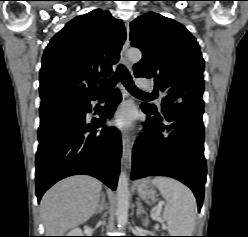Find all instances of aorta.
Here are the masks:
<instances>
[{
	"instance_id": "762f6f07",
	"label": "aorta",
	"mask_w": 248,
	"mask_h": 237,
	"mask_svg": "<svg viewBox=\"0 0 248 237\" xmlns=\"http://www.w3.org/2000/svg\"><path fill=\"white\" fill-rule=\"evenodd\" d=\"M127 57L132 62H138L142 58V53L138 49H130ZM130 206V191L128 176L125 171H121L117 184V209L116 216L120 226H124L128 219V210Z\"/></svg>"
}]
</instances>
